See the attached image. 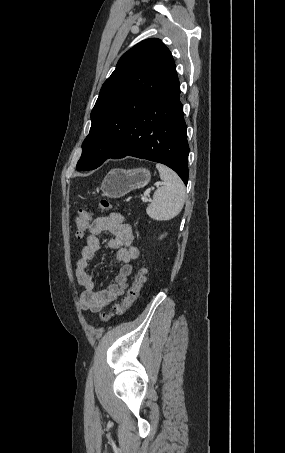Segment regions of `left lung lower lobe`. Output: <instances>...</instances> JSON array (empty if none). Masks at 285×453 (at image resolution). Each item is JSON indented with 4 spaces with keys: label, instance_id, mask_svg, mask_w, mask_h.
I'll use <instances>...</instances> for the list:
<instances>
[{
    "label": "left lung lower lobe",
    "instance_id": "obj_1",
    "mask_svg": "<svg viewBox=\"0 0 285 453\" xmlns=\"http://www.w3.org/2000/svg\"><path fill=\"white\" fill-rule=\"evenodd\" d=\"M179 97L180 84L174 64L107 159L133 156L162 163L187 184L189 145Z\"/></svg>",
    "mask_w": 285,
    "mask_h": 453
}]
</instances>
